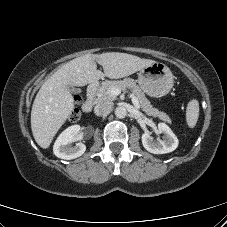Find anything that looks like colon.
Here are the masks:
<instances>
[{"label":"colon","mask_w":227,"mask_h":227,"mask_svg":"<svg viewBox=\"0 0 227 227\" xmlns=\"http://www.w3.org/2000/svg\"><path fill=\"white\" fill-rule=\"evenodd\" d=\"M77 102L80 100V98H76ZM80 115V111L78 107H75L72 114H71V119L76 120Z\"/></svg>","instance_id":"obj_1"}]
</instances>
